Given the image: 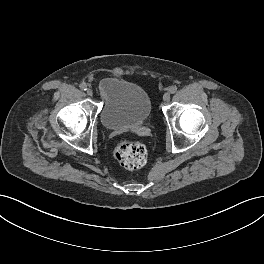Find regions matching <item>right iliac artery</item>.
<instances>
[{"label":"right iliac artery","mask_w":264,"mask_h":264,"mask_svg":"<svg viewBox=\"0 0 264 264\" xmlns=\"http://www.w3.org/2000/svg\"><path fill=\"white\" fill-rule=\"evenodd\" d=\"M79 87H80L81 90H87V85L84 84V83L80 84Z\"/></svg>","instance_id":"obj_1"}]
</instances>
